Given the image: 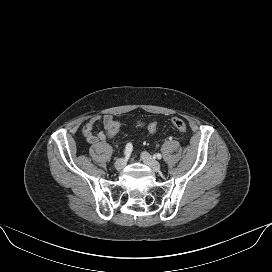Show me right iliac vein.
<instances>
[{"label":"right iliac vein","mask_w":272,"mask_h":272,"mask_svg":"<svg viewBox=\"0 0 272 272\" xmlns=\"http://www.w3.org/2000/svg\"><path fill=\"white\" fill-rule=\"evenodd\" d=\"M126 162H127L126 158H119L114 164L116 170L123 169L126 165Z\"/></svg>","instance_id":"right-iliac-vein-1"}]
</instances>
